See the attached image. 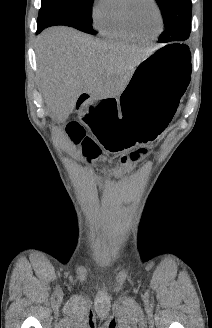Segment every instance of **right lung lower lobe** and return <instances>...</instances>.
<instances>
[{"label":"right lung lower lobe","mask_w":212,"mask_h":328,"mask_svg":"<svg viewBox=\"0 0 212 328\" xmlns=\"http://www.w3.org/2000/svg\"><path fill=\"white\" fill-rule=\"evenodd\" d=\"M44 28H46V27H44L43 25H37V32H36V34L40 33Z\"/></svg>","instance_id":"obj_1"}]
</instances>
